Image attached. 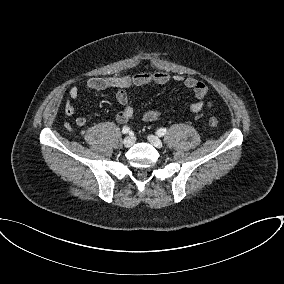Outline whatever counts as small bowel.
<instances>
[{
    "label": "small bowel",
    "instance_id": "1",
    "mask_svg": "<svg viewBox=\"0 0 284 284\" xmlns=\"http://www.w3.org/2000/svg\"><path fill=\"white\" fill-rule=\"evenodd\" d=\"M170 81L183 84L187 89L192 91L194 102L190 105V111L196 114L199 119L203 115L201 111L205 106L211 108L212 102L206 101L205 97L208 93V87L205 83L196 80L193 77H184L181 75L171 76L166 72L140 73L135 75H125L121 77H91L86 80L87 88L96 91H114L117 102L123 106V109L116 114V121L119 124H125L136 113L130 103V98L127 89L132 87H141L150 84L165 85ZM80 96V87L72 86L68 93V100L65 103L64 111L71 116L75 113V107L71 100H76ZM162 118V113L159 110H147L142 114V119L147 122L158 121ZM76 124L80 127L86 124V118L78 117Z\"/></svg>",
    "mask_w": 284,
    "mask_h": 284
}]
</instances>
